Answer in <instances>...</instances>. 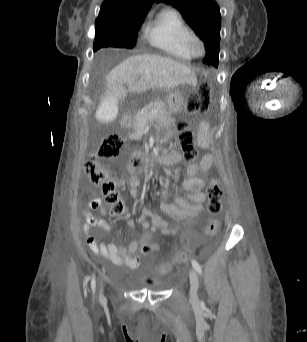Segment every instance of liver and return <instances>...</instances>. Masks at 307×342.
I'll return each mask as SVG.
<instances>
[{
	"mask_svg": "<svg viewBox=\"0 0 307 342\" xmlns=\"http://www.w3.org/2000/svg\"><path fill=\"white\" fill-rule=\"evenodd\" d=\"M107 95H122L123 100L127 92H146L152 88H177L182 84L196 86V74L189 66L176 62L172 58L156 56V54H138L127 58L115 66L108 76ZM128 88H125V86Z\"/></svg>",
	"mask_w": 307,
	"mask_h": 342,
	"instance_id": "obj_1",
	"label": "liver"
}]
</instances>
